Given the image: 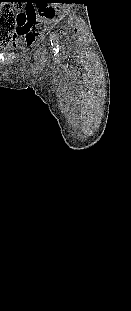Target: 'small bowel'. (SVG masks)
Returning <instances> with one entry per match:
<instances>
[{
	"instance_id": "c3829d8e",
	"label": "small bowel",
	"mask_w": 131,
	"mask_h": 311,
	"mask_svg": "<svg viewBox=\"0 0 131 311\" xmlns=\"http://www.w3.org/2000/svg\"><path fill=\"white\" fill-rule=\"evenodd\" d=\"M6 36H8L9 38H13L14 41L16 40L17 37H21L24 41V44L28 46H32L35 41V34L29 33V32H23L21 30H18L16 33L7 34ZM12 45L16 46L17 44L13 43Z\"/></svg>"
}]
</instances>
